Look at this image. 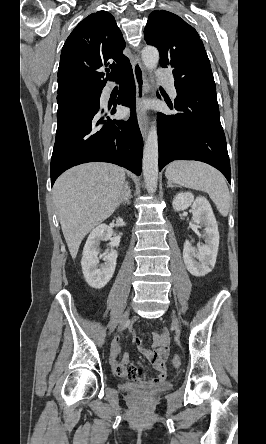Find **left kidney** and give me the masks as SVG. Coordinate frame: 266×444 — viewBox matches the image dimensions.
Wrapping results in <instances>:
<instances>
[{"label":"left kidney","instance_id":"1","mask_svg":"<svg viewBox=\"0 0 266 444\" xmlns=\"http://www.w3.org/2000/svg\"><path fill=\"white\" fill-rule=\"evenodd\" d=\"M172 206L175 211H184L191 206L194 222L204 227L205 244L195 249L186 240L183 248V260L187 270L193 276H205L215 266L219 247L218 224L211 205L205 197L199 196L194 199L192 193L181 192L174 197Z\"/></svg>","mask_w":266,"mask_h":444}]
</instances>
